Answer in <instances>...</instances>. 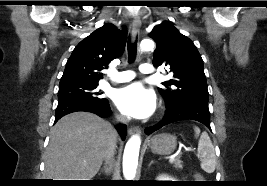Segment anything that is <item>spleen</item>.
<instances>
[{
    "instance_id": "obj_1",
    "label": "spleen",
    "mask_w": 267,
    "mask_h": 186,
    "mask_svg": "<svg viewBox=\"0 0 267 186\" xmlns=\"http://www.w3.org/2000/svg\"><path fill=\"white\" fill-rule=\"evenodd\" d=\"M196 136H199L200 129L198 127L194 128ZM198 153L201 156V168L212 173L215 170L216 156L214 151V146L210 140L208 133L203 132L200 135L198 142Z\"/></svg>"
}]
</instances>
